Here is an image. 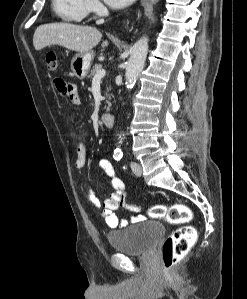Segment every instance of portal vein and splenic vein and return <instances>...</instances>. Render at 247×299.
<instances>
[{
  "instance_id": "portal-vein-and-splenic-vein-1",
  "label": "portal vein and splenic vein",
  "mask_w": 247,
  "mask_h": 299,
  "mask_svg": "<svg viewBox=\"0 0 247 299\" xmlns=\"http://www.w3.org/2000/svg\"><path fill=\"white\" fill-rule=\"evenodd\" d=\"M106 75V71L104 69H101L97 72V74L94 76L93 80H100Z\"/></svg>"
}]
</instances>
